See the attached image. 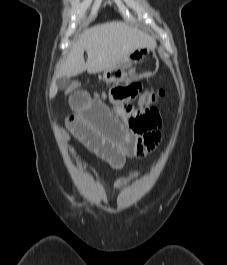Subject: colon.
Instances as JSON below:
<instances>
[{
	"label": "colon",
	"instance_id": "1",
	"mask_svg": "<svg viewBox=\"0 0 227 265\" xmlns=\"http://www.w3.org/2000/svg\"><path fill=\"white\" fill-rule=\"evenodd\" d=\"M73 87L81 86L78 82H72L65 90L67 96H72ZM139 92L138 86H116L110 91V98L119 112L127 121L129 128L137 134H145L158 129L161 126L159 111L154 104L164 96L163 90L144 91L139 95L138 105L134 106L131 99ZM131 104V107H127Z\"/></svg>",
	"mask_w": 227,
	"mask_h": 265
}]
</instances>
